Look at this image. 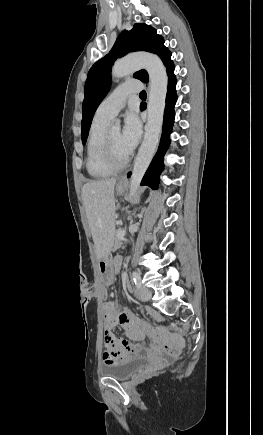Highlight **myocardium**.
I'll use <instances>...</instances> for the list:
<instances>
[{
	"mask_svg": "<svg viewBox=\"0 0 263 435\" xmlns=\"http://www.w3.org/2000/svg\"><path fill=\"white\" fill-rule=\"evenodd\" d=\"M110 132H107L104 136L103 145H102V156L105 164L110 167L114 171H119L126 168L130 162V154H127L125 158L122 160L118 159L113 150L111 140H110Z\"/></svg>",
	"mask_w": 263,
	"mask_h": 435,
	"instance_id": "myocardium-1",
	"label": "myocardium"
}]
</instances>
